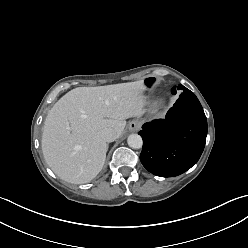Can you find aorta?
I'll use <instances>...</instances> for the list:
<instances>
[{"label": "aorta", "mask_w": 248, "mask_h": 248, "mask_svg": "<svg viewBox=\"0 0 248 248\" xmlns=\"http://www.w3.org/2000/svg\"><path fill=\"white\" fill-rule=\"evenodd\" d=\"M127 143L133 149H140L143 145L142 137L138 134H131L128 136Z\"/></svg>", "instance_id": "1"}]
</instances>
